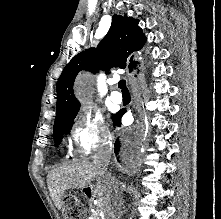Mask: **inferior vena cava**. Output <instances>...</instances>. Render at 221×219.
Here are the masks:
<instances>
[{"label": "inferior vena cava", "instance_id": "obj_1", "mask_svg": "<svg viewBox=\"0 0 221 219\" xmlns=\"http://www.w3.org/2000/svg\"><path fill=\"white\" fill-rule=\"evenodd\" d=\"M112 153V142L110 139H103L97 147L93 164L96 167L97 173L101 177L110 178V190L115 192L113 205L105 214L106 219H120L122 215L121 207L124 203L123 198L119 192L120 181L116 180V175H111L108 171V164Z\"/></svg>", "mask_w": 221, "mask_h": 219}]
</instances>
